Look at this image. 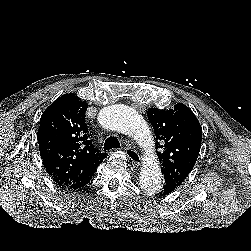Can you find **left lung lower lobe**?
I'll list each match as a JSON object with an SVG mask.
<instances>
[{
	"mask_svg": "<svg viewBox=\"0 0 251 251\" xmlns=\"http://www.w3.org/2000/svg\"><path fill=\"white\" fill-rule=\"evenodd\" d=\"M162 188L157 192V196H165L173 192L177 187L173 184V182H168L162 184Z\"/></svg>",
	"mask_w": 251,
	"mask_h": 251,
	"instance_id": "left-lung-lower-lobe-1",
	"label": "left lung lower lobe"
}]
</instances>
